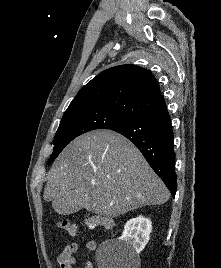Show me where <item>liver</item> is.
Instances as JSON below:
<instances>
[{
    "instance_id": "liver-1",
    "label": "liver",
    "mask_w": 221,
    "mask_h": 268,
    "mask_svg": "<svg viewBox=\"0 0 221 268\" xmlns=\"http://www.w3.org/2000/svg\"><path fill=\"white\" fill-rule=\"evenodd\" d=\"M170 193L141 152L125 137L97 130L70 142L48 174L44 199L66 215L70 208L116 217L166 203Z\"/></svg>"
}]
</instances>
